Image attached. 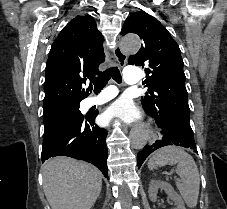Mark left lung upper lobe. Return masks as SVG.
Here are the masks:
<instances>
[{
	"label": "left lung upper lobe",
	"mask_w": 227,
	"mask_h": 209,
	"mask_svg": "<svg viewBox=\"0 0 227 209\" xmlns=\"http://www.w3.org/2000/svg\"><path fill=\"white\" fill-rule=\"evenodd\" d=\"M135 33L141 49L128 59L130 65L145 67L144 84L148 92L141 97L146 112L172 116L189 123L190 109L180 48L168 30L144 11L132 13L125 21L122 35Z\"/></svg>",
	"instance_id": "obj_1"
}]
</instances>
